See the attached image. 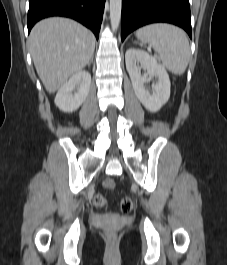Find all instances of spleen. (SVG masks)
<instances>
[{
  "label": "spleen",
  "instance_id": "obj_1",
  "mask_svg": "<svg viewBox=\"0 0 227 265\" xmlns=\"http://www.w3.org/2000/svg\"><path fill=\"white\" fill-rule=\"evenodd\" d=\"M136 36L159 53L163 66L170 72L175 75L185 72L191 52L187 35L182 29L167 23H155L137 30Z\"/></svg>",
  "mask_w": 227,
  "mask_h": 265
}]
</instances>
